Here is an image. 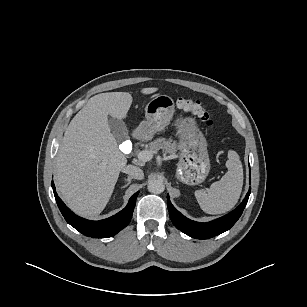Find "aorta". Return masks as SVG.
<instances>
[{"label": "aorta", "mask_w": 307, "mask_h": 307, "mask_svg": "<svg viewBox=\"0 0 307 307\" xmlns=\"http://www.w3.org/2000/svg\"><path fill=\"white\" fill-rule=\"evenodd\" d=\"M148 191L154 194H160L165 190V185L160 179H151L148 182Z\"/></svg>", "instance_id": "obj_1"}]
</instances>
